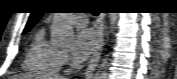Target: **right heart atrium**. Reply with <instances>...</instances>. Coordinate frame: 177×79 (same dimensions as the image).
<instances>
[{
    "instance_id": "d8ad5b80",
    "label": "right heart atrium",
    "mask_w": 177,
    "mask_h": 79,
    "mask_svg": "<svg viewBox=\"0 0 177 79\" xmlns=\"http://www.w3.org/2000/svg\"><path fill=\"white\" fill-rule=\"evenodd\" d=\"M61 61H62V65L69 64L70 61L69 56L66 53H62Z\"/></svg>"
}]
</instances>
